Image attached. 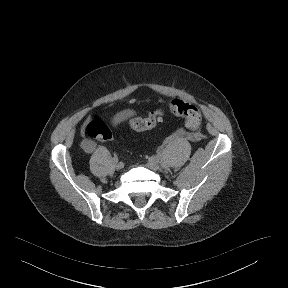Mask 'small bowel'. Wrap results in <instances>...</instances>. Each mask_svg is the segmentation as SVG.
<instances>
[{
	"mask_svg": "<svg viewBox=\"0 0 288 288\" xmlns=\"http://www.w3.org/2000/svg\"><path fill=\"white\" fill-rule=\"evenodd\" d=\"M84 148H85V150L87 152H91L93 150V148H94V145L92 143H90V142H86L84 144Z\"/></svg>",
	"mask_w": 288,
	"mask_h": 288,
	"instance_id": "1",
	"label": "small bowel"
}]
</instances>
